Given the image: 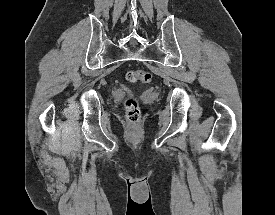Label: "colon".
Segmentation results:
<instances>
[{
    "mask_svg": "<svg viewBox=\"0 0 275 215\" xmlns=\"http://www.w3.org/2000/svg\"><path fill=\"white\" fill-rule=\"evenodd\" d=\"M126 79L132 83L140 82L142 84H147L151 81V74L149 71L144 69H135L127 72ZM124 106L129 121L137 123L140 119V108L137 98L132 95L127 96Z\"/></svg>",
    "mask_w": 275,
    "mask_h": 215,
    "instance_id": "5ec220e1",
    "label": "colon"
}]
</instances>
